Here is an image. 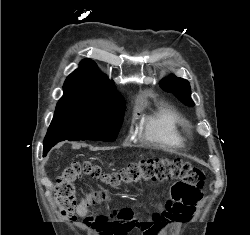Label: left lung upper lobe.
Instances as JSON below:
<instances>
[{"label": "left lung upper lobe", "instance_id": "left-lung-upper-lobe-1", "mask_svg": "<svg viewBox=\"0 0 250 235\" xmlns=\"http://www.w3.org/2000/svg\"><path fill=\"white\" fill-rule=\"evenodd\" d=\"M160 87L167 92L173 93L185 105L194 106L191 99L190 85L187 80L170 75L160 82Z\"/></svg>", "mask_w": 250, "mask_h": 235}]
</instances>
